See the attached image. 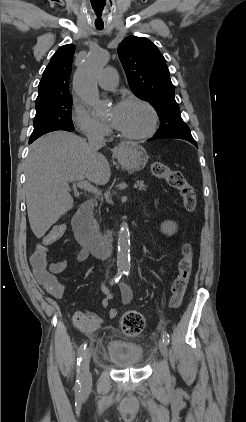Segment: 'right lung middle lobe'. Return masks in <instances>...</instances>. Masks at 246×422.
Segmentation results:
<instances>
[{"label": "right lung middle lobe", "mask_w": 246, "mask_h": 422, "mask_svg": "<svg viewBox=\"0 0 246 422\" xmlns=\"http://www.w3.org/2000/svg\"><path fill=\"white\" fill-rule=\"evenodd\" d=\"M71 109V96L60 98L46 106L37 108L33 122L34 130L29 142L52 131H73L74 126L71 118Z\"/></svg>", "instance_id": "obj_1"}]
</instances>
